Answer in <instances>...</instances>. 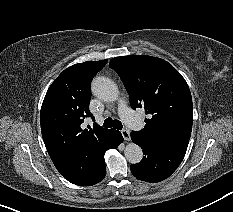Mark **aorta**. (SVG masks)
Wrapping results in <instances>:
<instances>
[{
	"label": "aorta",
	"mask_w": 233,
	"mask_h": 212,
	"mask_svg": "<svg viewBox=\"0 0 233 212\" xmlns=\"http://www.w3.org/2000/svg\"><path fill=\"white\" fill-rule=\"evenodd\" d=\"M92 92L95 96L107 102L116 101L119 96L118 86L107 77L94 78L92 81ZM124 155L128 162L132 164L139 163L143 158L141 147L135 143L126 145Z\"/></svg>",
	"instance_id": "1"
}]
</instances>
